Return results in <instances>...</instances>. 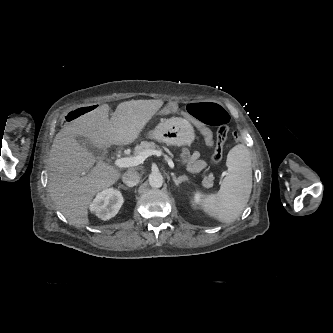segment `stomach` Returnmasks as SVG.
Here are the masks:
<instances>
[{"label": "stomach", "instance_id": "1", "mask_svg": "<svg viewBox=\"0 0 333 333\" xmlns=\"http://www.w3.org/2000/svg\"><path fill=\"white\" fill-rule=\"evenodd\" d=\"M150 135L159 142L176 146H190L195 140L193 126L182 118H170L159 123Z\"/></svg>", "mask_w": 333, "mask_h": 333}]
</instances>
